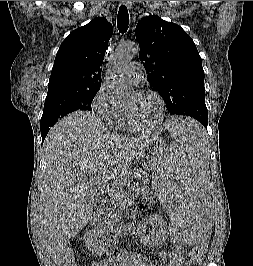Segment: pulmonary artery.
I'll return each instance as SVG.
<instances>
[{
  "mask_svg": "<svg viewBox=\"0 0 253 266\" xmlns=\"http://www.w3.org/2000/svg\"><path fill=\"white\" fill-rule=\"evenodd\" d=\"M124 75L132 84L137 85L143 78V67L138 62H132L125 68Z\"/></svg>",
  "mask_w": 253,
  "mask_h": 266,
  "instance_id": "pulmonary-artery-1",
  "label": "pulmonary artery"
}]
</instances>
